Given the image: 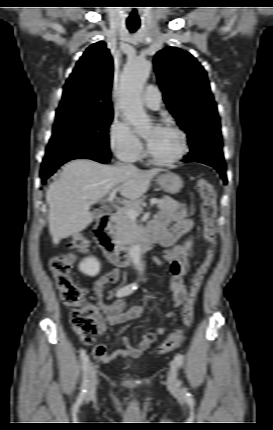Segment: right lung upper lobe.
<instances>
[{
    "mask_svg": "<svg viewBox=\"0 0 273 430\" xmlns=\"http://www.w3.org/2000/svg\"><path fill=\"white\" fill-rule=\"evenodd\" d=\"M113 61L103 41L83 53L68 78L58 109L79 107L112 110Z\"/></svg>",
    "mask_w": 273,
    "mask_h": 430,
    "instance_id": "right-lung-upper-lobe-1",
    "label": "right lung upper lobe"
}]
</instances>
